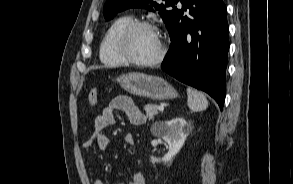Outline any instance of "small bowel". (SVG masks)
Returning <instances> with one entry per match:
<instances>
[{"label": "small bowel", "mask_w": 293, "mask_h": 184, "mask_svg": "<svg viewBox=\"0 0 293 184\" xmlns=\"http://www.w3.org/2000/svg\"><path fill=\"white\" fill-rule=\"evenodd\" d=\"M121 111L127 115L131 124L139 126L142 125L146 116L134 103V101L127 96H117L113 98L109 104L102 109L94 120V131L89 140L83 144V150L87 156H91V150L96 145L100 150L106 151L110 147V139L105 134V129L116 123L115 112ZM124 141L129 144H134V136L127 133L124 136ZM93 184H104L100 179H95ZM125 184V183H117ZM127 184H146L145 177L142 173L136 172L129 179Z\"/></svg>", "instance_id": "c3829d8e"}]
</instances>
